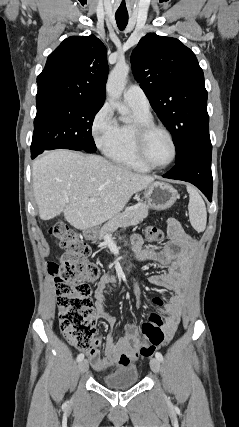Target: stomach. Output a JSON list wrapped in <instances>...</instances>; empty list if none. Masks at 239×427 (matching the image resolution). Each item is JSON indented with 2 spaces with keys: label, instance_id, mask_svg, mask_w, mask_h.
Returning <instances> with one entry per match:
<instances>
[{
  "label": "stomach",
  "instance_id": "1",
  "mask_svg": "<svg viewBox=\"0 0 239 427\" xmlns=\"http://www.w3.org/2000/svg\"><path fill=\"white\" fill-rule=\"evenodd\" d=\"M145 201L149 208L154 210H166L177 200V191L164 182H153L145 188ZM99 227H92L83 230V235L87 240L101 239Z\"/></svg>",
  "mask_w": 239,
  "mask_h": 427
}]
</instances>
